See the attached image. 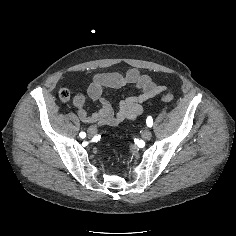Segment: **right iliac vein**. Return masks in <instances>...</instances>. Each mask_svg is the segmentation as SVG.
Returning a JSON list of instances; mask_svg holds the SVG:
<instances>
[{
  "label": "right iliac vein",
  "instance_id": "right-iliac-vein-1",
  "mask_svg": "<svg viewBox=\"0 0 236 236\" xmlns=\"http://www.w3.org/2000/svg\"><path fill=\"white\" fill-rule=\"evenodd\" d=\"M97 132V129L94 126L88 128V137H92Z\"/></svg>",
  "mask_w": 236,
  "mask_h": 236
}]
</instances>
